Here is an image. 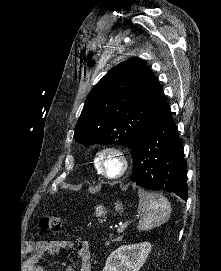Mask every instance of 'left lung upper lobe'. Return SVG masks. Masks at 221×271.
Listing matches in <instances>:
<instances>
[{
  "instance_id": "obj_1",
  "label": "left lung upper lobe",
  "mask_w": 221,
  "mask_h": 271,
  "mask_svg": "<svg viewBox=\"0 0 221 271\" xmlns=\"http://www.w3.org/2000/svg\"><path fill=\"white\" fill-rule=\"evenodd\" d=\"M170 113L158 79L139 58L108 71L88 94L75 127L84 145L121 144L131 148L151 125Z\"/></svg>"
}]
</instances>
